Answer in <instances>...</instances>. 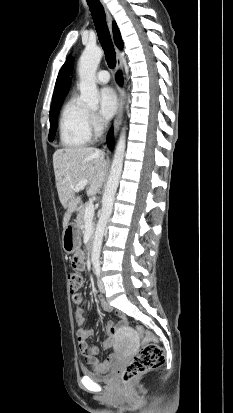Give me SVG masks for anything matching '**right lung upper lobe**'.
<instances>
[{
	"instance_id": "1",
	"label": "right lung upper lobe",
	"mask_w": 233,
	"mask_h": 413,
	"mask_svg": "<svg viewBox=\"0 0 233 413\" xmlns=\"http://www.w3.org/2000/svg\"><path fill=\"white\" fill-rule=\"evenodd\" d=\"M112 25H113V35H114L115 44L119 49H122L123 48V41H122V38H121V35H120V32H119V29H118L115 22H113ZM71 63H72V61L70 62L67 70L65 71V73H64V75H63V77L60 81V84H59V80L57 82V87L59 85V92L56 95V90L54 91L53 98H52V100H53L52 105L63 101L65 96L69 92L70 85H71V78H70Z\"/></svg>"
}]
</instances>
